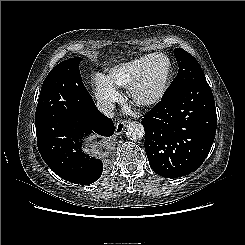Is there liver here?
I'll return each instance as SVG.
<instances>
[{
	"instance_id": "obj_1",
	"label": "liver",
	"mask_w": 245,
	"mask_h": 245,
	"mask_svg": "<svg viewBox=\"0 0 245 245\" xmlns=\"http://www.w3.org/2000/svg\"><path fill=\"white\" fill-rule=\"evenodd\" d=\"M92 152H93V153H98V150H93Z\"/></svg>"
}]
</instances>
